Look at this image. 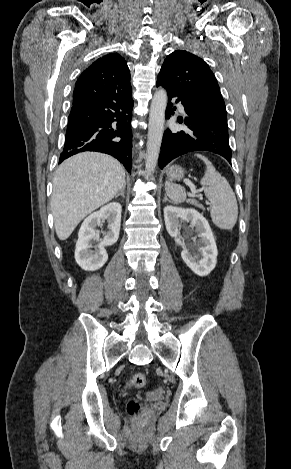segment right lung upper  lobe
<instances>
[{
    "label": "right lung upper lobe",
    "mask_w": 291,
    "mask_h": 469,
    "mask_svg": "<svg viewBox=\"0 0 291 469\" xmlns=\"http://www.w3.org/2000/svg\"><path fill=\"white\" fill-rule=\"evenodd\" d=\"M118 92L130 95V72L125 60L116 53L97 59L78 78L73 92V103L86 98Z\"/></svg>",
    "instance_id": "obj_1"
}]
</instances>
